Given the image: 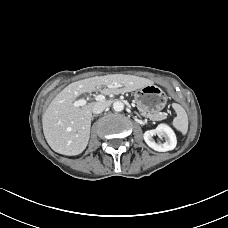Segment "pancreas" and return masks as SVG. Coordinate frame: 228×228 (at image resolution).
<instances>
[{"mask_svg": "<svg viewBox=\"0 0 228 228\" xmlns=\"http://www.w3.org/2000/svg\"><path fill=\"white\" fill-rule=\"evenodd\" d=\"M139 111L142 113V115L149 117L151 120H154V121L163 120L167 117V114L164 112L149 113V112H145L141 109H139Z\"/></svg>", "mask_w": 228, "mask_h": 228, "instance_id": "cf45deb5", "label": "pancreas"}]
</instances>
